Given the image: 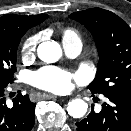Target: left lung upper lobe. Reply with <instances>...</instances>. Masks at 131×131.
Instances as JSON below:
<instances>
[{
    "label": "left lung upper lobe",
    "mask_w": 131,
    "mask_h": 131,
    "mask_svg": "<svg viewBox=\"0 0 131 131\" xmlns=\"http://www.w3.org/2000/svg\"><path fill=\"white\" fill-rule=\"evenodd\" d=\"M93 35L98 54L97 76L89 84L92 93L131 98V29L114 13L101 8L69 15Z\"/></svg>",
    "instance_id": "left-lung-upper-lobe-1"
}]
</instances>
